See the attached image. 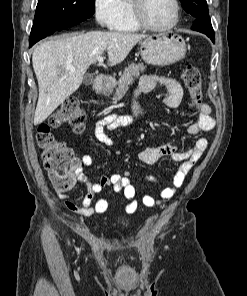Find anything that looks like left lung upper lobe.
<instances>
[{
	"label": "left lung upper lobe",
	"instance_id": "1",
	"mask_svg": "<svg viewBox=\"0 0 247 296\" xmlns=\"http://www.w3.org/2000/svg\"><path fill=\"white\" fill-rule=\"evenodd\" d=\"M183 8L192 16L199 17L208 14L206 0H180Z\"/></svg>",
	"mask_w": 247,
	"mask_h": 296
}]
</instances>
